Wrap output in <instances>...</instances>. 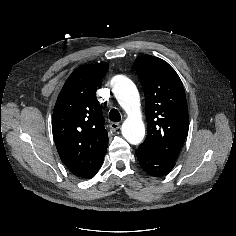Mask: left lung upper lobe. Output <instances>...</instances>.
<instances>
[{"label":"left lung upper lobe","instance_id":"1","mask_svg":"<svg viewBox=\"0 0 236 236\" xmlns=\"http://www.w3.org/2000/svg\"><path fill=\"white\" fill-rule=\"evenodd\" d=\"M135 68L145 95L148 126L140 146L175 163L189 129L181 80L167 62L154 56L137 57Z\"/></svg>","mask_w":236,"mask_h":236}]
</instances>
